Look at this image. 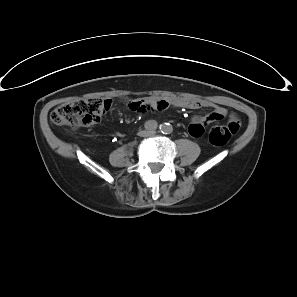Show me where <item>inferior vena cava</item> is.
I'll return each mask as SVG.
<instances>
[{
    "label": "inferior vena cava",
    "instance_id": "obj_1",
    "mask_svg": "<svg viewBox=\"0 0 297 297\" xmlns=\"http://www.w3.org/2000/svg\"><path fill=\"white\" fill-rule=\"evenodd\" d=\"M154 134V131H144L143 136H151Z\"/></svg>",
    "mask_w": 297,
    "mask_h": 297
}]
</instances>
